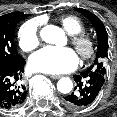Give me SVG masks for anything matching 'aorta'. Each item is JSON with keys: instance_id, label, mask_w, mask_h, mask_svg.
I'll return each instance as SVG.
<instances>
[{"instance_id": "762f6f07", "label": "aorta", "mask_w": 117, "mask_h": 117, "mask_svg": "<svg viewBox=\"0 0 117 117\" xmlns=\"http://www.w3.org/2000/svg\"><path fill=\"white\" fill-rule=\"evenodd\" d=\"M40 36L42 40L47 43L60 45L65 38V33L61 28L57 26L48 25L41 30ZM72 88L73 82L70 78H61L57 83L58 91L63 94L70 93Z\"/></svg>"}]
</instances>
